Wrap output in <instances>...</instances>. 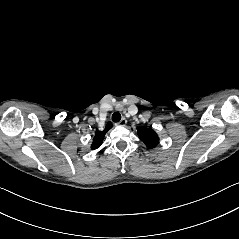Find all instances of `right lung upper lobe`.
Listing matches in <instances>:
<instances>
[{
    "instance_id": "1",
    "label": "right lung upper lobe",
    "mask_w": 239,
    "mask_h": 239,
    "mask_svg": "<svg viewBox=\"0 0 239 239\" xmlns=\"http://www.w3.org/2000/svg\"><path fill=\"white\" fill-rule=\"evenodd\" d=\"M112 124L110 122L107 123L105 129L103 131H97L95 132V136L93 138V143L91 145V148L94 150V149H97L100 147V145L102 144L103 142V139H104V136L105 134L108 132V130L110 128H112Z\"/></svg>"
}]
</instances>
